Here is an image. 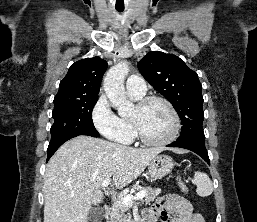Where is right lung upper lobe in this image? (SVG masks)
Instances as JSON below:
<instances>
[{
    "label": "right lung upper lobe",
    "mask_w": 257,
    "mask_h": 222,
    "mask_svg": "<svg viewBox=\"0 0 257 222\" xmlns=\"http://www.w3.org/2000/svg\"><path fill=\"white\" fill-rule=\"evenodd\" d=\"M107 62L100 57L86 58L72 64L60 82L54 102L98 96Z\"/></svg>",
    "instance_id": "1"
}]
</instances>
